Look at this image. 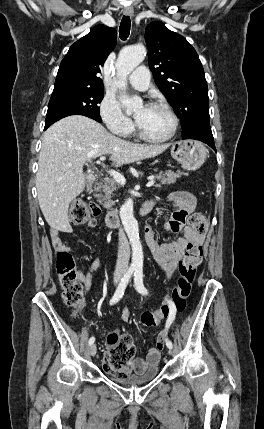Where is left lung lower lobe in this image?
Instances as JSON below:
<instances>
[{"mask_svg": "<svg viewBox=\"0 0 264 429\" xmlns=\"http://www.w3.org/2000/svg\"><path fill=\"white\" fill-rule=\"evenodd\" d=\"M183 139H195L202 141L206 144H208L214 151H216L215 144H214V138L212 135V131L210 126H203L194 131L192 134L188 136H184Z\"/></svg>", "mask_w": 264, "mask_h": 429, "instance_id": "0a47b994", "label": "left lung lower lobe"}]
</instances>
